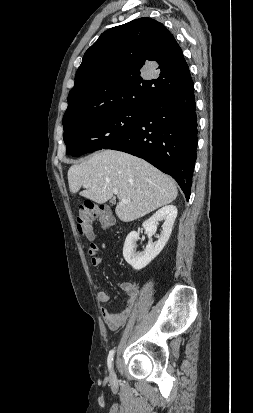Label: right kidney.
I'll return each mask as SVG.
<instances>
[{
	"label": "right kidney",
	"instance_id": "ca27d5eb",
	"mask_svg": "<svg viewBox=\"0 0 253 413\" xmlns=\"http://www.w3.org/2000/svg\"><path fill=\"white\" fill-rule=\"evenodd\" d=\"M177 216V208L174 205H167L155 212L148 220L143 223V228L149 237V242L145 250L137 253L136 241L139 238V233L132 231L126 237L123 247V257L126 262L135 270H141L146 267L164 248L172 232L173 224ZM164 219L162 232L158 237V241L151 242V237L156 233L158 221Z\"/></svg>",
	"mask_w": 253,
	"mask_h": 413
}]
</instances>
